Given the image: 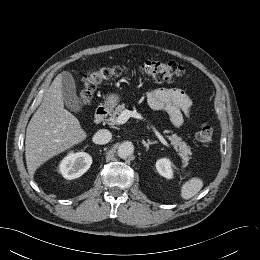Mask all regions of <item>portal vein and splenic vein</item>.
<instances>
[{"label":"portal vein and splenic vein","mask_w":260,"mask_h":260,"mask_svg":"<svg viewBox=\"0 0 260 260\" xmlns=\"http://www.w3.org/2000/svg\"><path fill=\"white\" fill-rule=\"evenodd\" d=\"M130 117H135L137 119H143V117L137 113L136 111H130V110H123L122 113L118 116L117 118V123L118 124H124L128 121V119ZM151 128L153 129L154 133L156 134V136L158 137V139L165 145L168 146V143L166 142V140L164 139V137L156 130V128L154 126H151Z\"/></svg>","instance_id":"portal-vein-and-splenic-vein-1"}]
</instances>
